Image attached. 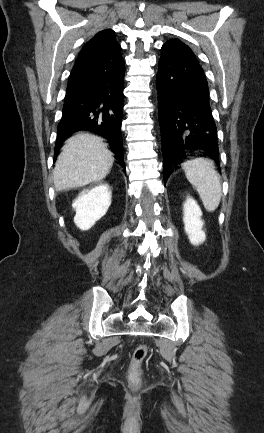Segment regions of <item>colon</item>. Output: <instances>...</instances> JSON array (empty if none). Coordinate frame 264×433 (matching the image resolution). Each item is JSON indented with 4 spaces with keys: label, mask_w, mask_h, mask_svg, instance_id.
<instances>
[{
    "label": "colon",
    "mask_w": 264,
    "mask_h": 433,
    "mask_svg": "<svg viewBox=\"0 0 264 433\" xmlns=\"http://www.w3.org/2000/svg\"><path fill=\"white\" fill-rule=\"evenodd\" d=\"M147 353L148 347L145 344L137 346L132 353L128 369V380L132 386H138L141 383L142 366Z\"/></svg>",
    "instance_id": "colon-1"
}]
</instances>
